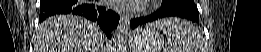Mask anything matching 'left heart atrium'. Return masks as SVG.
I'll return each mask as SVG.
<instances>
[{
	"label": "left heart atrium",
	"instance_id": "left-heart-atrium-1",
	"mask_svg": "<svg viewBox=\"0 0 261 52\" xmlns=\"http://www.w3.org/2000/svg\"><path fill=\"white\" fill-rule=\"evenodd\" d=\"M147 0H115L113 1V7L118 9H137Z\"/></svg>",
	"mask_w": 261,
	"mask_h": 52
}]
</instances>
